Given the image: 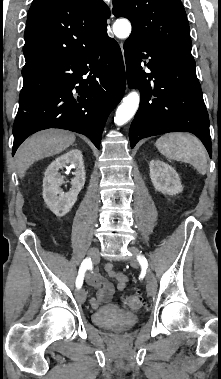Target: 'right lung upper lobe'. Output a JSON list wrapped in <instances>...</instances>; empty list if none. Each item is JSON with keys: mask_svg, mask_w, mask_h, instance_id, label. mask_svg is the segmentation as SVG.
Wrapping results in <instances>:
<instances>
[{"mask_svg": "<svg viewBox=\"0 0 221 379\" xmlns=\"http://www.w3.org/2000/svg\"><path fill=\"white\" fill-rule=\"evenodd\" d=\"M102 0H34L27 18L22 74L91 48L107 35Z\"/></svg>", "mask_w": 221, "mask_h": 379, "instance_id": "obj_1", "label": "right lung upper lobe"}]
</instances>
